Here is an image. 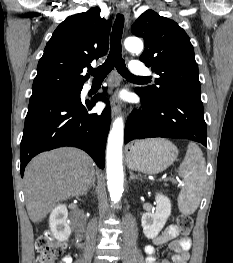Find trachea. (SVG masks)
Masks as SVG:
<instances>
[{
	"label": "trachea",
	"mask_w": 233,
	"mask_h": 263,
	"mask_svg": "<svg viewBox=\"0 0 233 263\" xmlns=\"http://www.w3.org/2000/svg\"><path fill=\"white\" fill-rule=\"evenodd\" d=\"M124 27V16L117 14L112 33L110 36V52L105 62L96 69H90L89 73L94 76L95 79L105 78L109 72L116 67L117 71L128 80L132 81H149L147 77H136L132 75L125 65V61L122 58L121 52V38Z\"/></svg>",
	"instance_id": "obj_1"
}]
</instances>
